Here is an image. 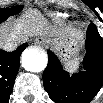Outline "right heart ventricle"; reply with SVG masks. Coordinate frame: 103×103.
<instances>
[{
    "label": "right heart ventricle",
    "mask_w": 103,
    "mask_h": 103,
    "mask_svg": "<svg viewBox=\"0 0 103 103\" xmlns=\"http://www.w3.org/2000/svg\"><path fill=\"white\" fill-rule=\"evenodd\" d=\"M66 15H63V14H57V17H65Z\"/></svg>",
    "instance_id": "right-heart-ventricle-1"
}]
</instances>
